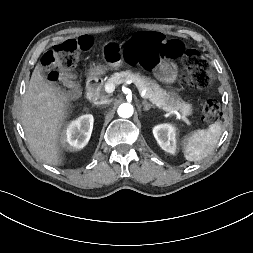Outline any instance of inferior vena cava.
Here are the masks:
<instances>
[{
	"instance_id": "1",
	"label": "inferior vena cava",
	"mask_w": 253,
	"mask_h": 253,
	"mask_svg": "<svg viewBox=\"0 0 253 253\" xmlns=\"http://www.w3.org/2000/svg\"><path fill=\"white\" fill-rule=\"evenodd\" d=\"M111 102L110 99H102L100 101H97L96 104L97 105H104V104H109Z\"/></svg>"
}]
</instances>
